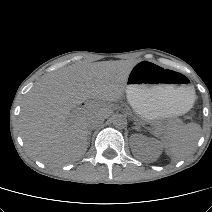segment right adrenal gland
Returning a JSON list of instances; mask_svg holds the SVG:
<instances>
[{"instance_id":"right-adrenal-gland-1","label":"right adrenal gland","mask_w":212,"mask_h":212,"mask_svg":"<svg viewBox=\"0 0 212 212\" xmlns=\"http://www.w3.org/2000/svg\"><path fill=\"white\" fill-rule=\"evenodd\" d=\"M91 133H92V129H90V130L88 131V140H90Z\"/></svg>"}]
</instances>
